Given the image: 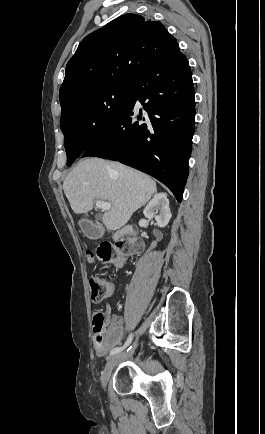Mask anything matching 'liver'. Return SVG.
Returning <instances> with one entry per match:
<instances>
[{
	"instance_id": "obj_1",
	"label": "liver",
	"mask_w": 265,
	"mask_h": 434,
	"mask_svg": "<svg viewBox=\"0 0 265 434\" xmlns=\"http://www.w3.org/2000/svg\"><path fill=\"white\" fill-rule=\"evenodd\" d=\"M63 190L75 214L90 212L94 200L110 202V212L101 218L107 230H120L157 192L156 182L146 174L100 158L78 162L66 176Z\"/></svg>"
}]
</instances>
